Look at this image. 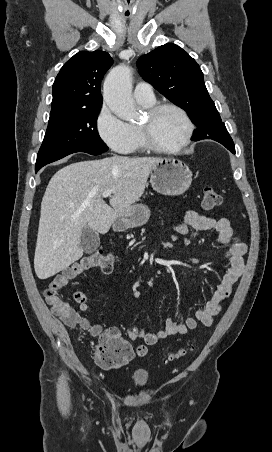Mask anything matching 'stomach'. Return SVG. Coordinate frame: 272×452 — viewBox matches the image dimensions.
<instances>
[{
    "label": "stomach",
    "mask_w": 272,
    "mask_h": 452,
    "mask_svg": "<svg viewBox=\"0 0 272 452\" xmlns=\"http://www.w3.org/2000/svg\"><path fill=\"white\" fill-rule=\"evenodd\" d=\"M192 172L179 159L165 157L153 165L150 172L152 188L159 194L178 196L190 187ZM150 218V209L142 204L128 208L119 217V228L128 229L144 225Z\"/></svg>",
    "instance_id": "obj_1"
}]
</instances>
